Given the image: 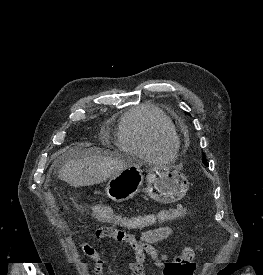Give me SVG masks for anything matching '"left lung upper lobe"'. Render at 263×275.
Returning a JSON list of instances; mask_svg holds the SVG:
<instances>
[{"mask_svg":"<svg viewBox=\"0 0 263 275\" xmlns=\"http://www.w3.org/2000/svg\"><path fill=\"white\" fill-rule=\"evenodd\" d=\"M203 164H204L205 166H208V163H207V161H206V158H205V157H203Z\"/></svg>","mask_w":263,"mask_h":275,"instance_id":"1","label":"left lung upper lobe"}]
</instances>
